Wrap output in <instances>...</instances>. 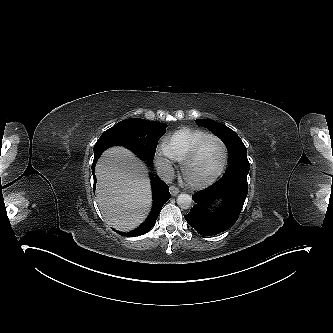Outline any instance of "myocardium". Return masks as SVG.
<instances>
[{
    "label": "myocardium",
    "mask_w": 333,
    "mask_h": 333,
    "mask_svg": "<svg viewBox=\"0 0 333 333\" xmlns=\"http://www.w3.org/2000/svg\"><path fill=\"white\" fill-rule=\"evenodd\" d=\"M211 139L217 140L222 146L223 159H222L221 165H220L219 169L216 171V173L213 176H211L210 178L205 179V180H193L188 176L187 167H188L189 163L197 156V154L199 153L203 144ZM227 161H228V149H227V146H226L224 140L217 135L209 134V135L205 136L204 138H202L201 140H199L186 154V156L184 157V159L182 160V163H181V172H182L184 179L190 186H192L194 188H202V187L211 185L223 174V172L226 168V165H227Z\"/></svg>",
    "instance_id": "1"
}]
</instances>
